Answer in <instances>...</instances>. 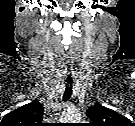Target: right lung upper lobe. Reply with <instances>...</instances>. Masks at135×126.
<instances>
[{
    "label": "right lung upper lobe",
    "mask_w": 135,
    "mask_h": 126,
    "mask_svg": "<svg viewBox=\"0 0 135 126\" xmlns=\"http://www.w3.org/2000/svg\"><path fill=\"white\" fill-rule=\"evenodd\" d=\"M43 115L42 105L37 100H33L6 114L0 126H40Z\"/></svg>",
    "instance_id": "1"
}]
</instances>
